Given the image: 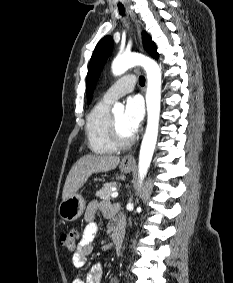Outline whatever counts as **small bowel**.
I'll use <instances>...</instances> for the list:
<instances>
[{
	"label": "small bowel",
	"mask_w": 233,
	"mask_h": 283,
	"mask_svg": "<svg viewBox=\"0 0 233 283\" xmlns=\"http://www.w3.org/2000/svg\"><path fill=\"white\" fill-rule=\"evenodd\" d=\"M98 211L106 217H111L114 214V209L108 203L93 200L88 204L85 211L86 225L79 245L73 254V265L77 269L85 265L87 256L94 250V240L98 233V225L94 221V218ZM102 276V265L96 263L91 267L86 280L81 276H76L72 283H101ZM109 283H118V280L112 278Z\"/></svg>",
	"instance_id": "obj_1"
}]
</instances>
